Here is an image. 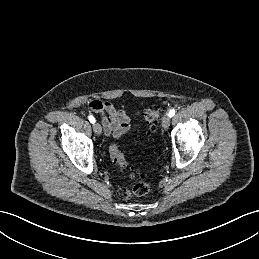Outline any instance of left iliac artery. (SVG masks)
Listing matches in <instances>:
<instances>
[{"mask_svg":"<svg viewBox=\"0 0 259 259\" xmlns=\"http://www.w3.org/2000/svg\"><path fill=\"white\" fill-rule=\"evenodd\" d=\"M169 117H173L175 115V109H171L168 113Z\"/></svg>","mask_w":259,"mask_h":259,"instance_id":"44dca946","label":"left iliac artery"}]
</instances>
